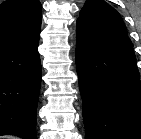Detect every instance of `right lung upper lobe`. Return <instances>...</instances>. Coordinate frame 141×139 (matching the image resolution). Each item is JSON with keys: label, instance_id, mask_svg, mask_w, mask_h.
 <instances>
[{"label": "right lung upper lobe", "instance_id": "right-lung-upper-lobe-1", "mask_svg": "<svg viewBox=\"0 0 141 139\" xmlns=\"http://www.w3.org/2000/svg\"><path fill=\"white\" fill-rule=\"evenodd\" d=\"M42 6L39 0H6L0 4V47L40 34Z\"/></svg>", "mask_w": 141, "mask_h": 139}]
</instances>
